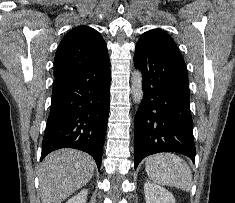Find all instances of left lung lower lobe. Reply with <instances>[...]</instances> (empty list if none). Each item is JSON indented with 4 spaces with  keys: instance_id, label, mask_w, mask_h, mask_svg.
Masks as SVG:
<instances>
[{
    "instance_id": "1",
    "label": "left lung lower lobe",
    "mask_w": 235,
    "mask_h": 203,
    "mask_svg": "<svg viewBox=\"0 0 235 203\" xmlns=\"http://www.w3.org/2000/svg\"><path fill=\"white\" fill-rule=\"evenodd\" d=\"M135 67L143 75L144 98L135 116L134 166L148 155L177 152L194 162L188 71L182 56L160 44L138 42Z\"/></svg>"
}]
</instances>
